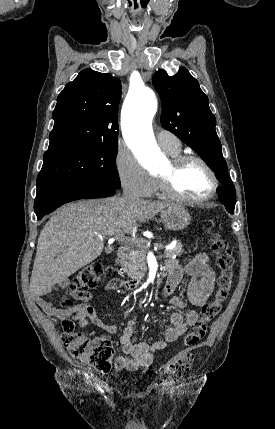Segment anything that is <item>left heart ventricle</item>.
<instances>
[{
	"label": "left heart ventricle",
	"instance_id": "b2bd125f",
	"mask_svg": "<svg viewBox=\"0 0 275 429\" xmlns=\"http://www.w3.org/2000/svg\"><path fill=\"white\" fill-rule=\"evenodd\" d=\"M171 167L168 161L159 171L158 175L170 174ZM174 187L178 193L189 198H203L212 188V181L198 162H189L174 176Z\"/></svg>",
	"mask_w": 275,
	"mask_h": 429
}]
</instances>
